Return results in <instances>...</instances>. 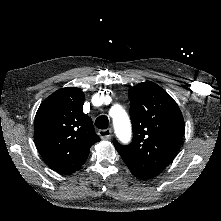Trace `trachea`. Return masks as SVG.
I'll use <instances>...</instances> for the list:
<instances>
[{
    "mask_svg": "<svg viewBox=\"0 0 221 221\" xmlns=\"http://www.w3.org/2000/svg\"><path fill=\"white\" fill-rule=\"evenodd\" d=\"M109 119L106 115H101L95 120V126L98 129H107L108 128Z\"/></svg>",
    "mask_w": 221,
    "mask_h": 221,
    "instance_id": "3493384b",
    "label": "trachea"
}]
</instances>
